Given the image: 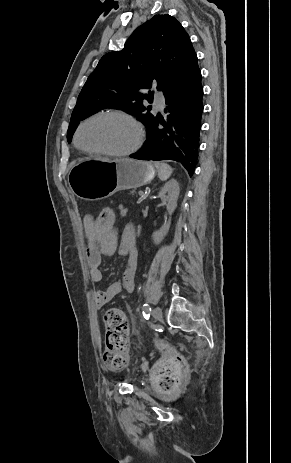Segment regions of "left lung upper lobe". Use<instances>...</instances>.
Here are the masks:
<instances>
[{
  "label": "left lung upper lobe",
  "instance_id": "1",
  "mask_svg": "<svg viewBox=\"0 0 291 463\" xmlns=\"http://www.w3.org/2000/svg\"><path fill=\"white\" fill-rule=\"evenodd\" d=\"M192 42L182 25L170 15H155L138 27L121 51L109 52L99 61L83 86L72 112L67 140L80 121L104 108L130 113L146 129L154 118L143 99V90L157 84L165 95L198 67Z\"/></svg>",
  "mask_w": 291,
  "mask_h": 463
}]
</instances>
